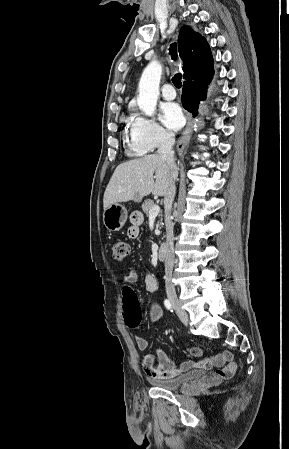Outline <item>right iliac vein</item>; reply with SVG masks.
<instances>
[{
    "mask_svg": "<svg viewBox=\"0 0 289 449\" xmlns=\"http://www.w3.org/2000/svg\"><path fill=\"white\" fill-rule=\"evenodd\" d=\"M168 298L181 321L187 324L189 321L188 315L186 311L182 308L177 296L174 293H168Z\"/></svg>",
    "mask_w": 289,
    "mask_h": 449,
    "instance_id": "obj_1",
    "label": "right iliac vein"
}]
</instances>
